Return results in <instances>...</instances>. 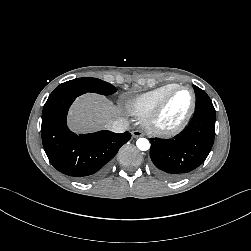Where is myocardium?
Listing matches in <instances>:
<instances>
[{
    "label": "myocardium",
    "mask_w": 251,
    "mask_h": 251,
    "mask_svg": "<svg viewBox=\"0 0 251 251\" xmlns=\"http://www.w3.org/2000/svg\"><path fill=\"white\" fill-rule=\"evenodd\" d=\"M180 90H186L191 95V104L186 112L185 116L182 118V120L174 125V126H164L160 123V118L162 116V113L171 98V96ZM196 109V95L194 91L187 86L182 85H176L172 89H170L158 102V104L154 107V109L145 117V126L147 130L155 135L160 137H167V136H173L178 133H180L190 122L194 112Z\"/></svg>",
    "instance_id": "myocardium-1"
}]
</instances>
